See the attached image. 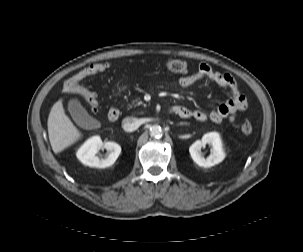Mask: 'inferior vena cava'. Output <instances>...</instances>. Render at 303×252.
<instances>
[{
	"label": "inferior vena cava",
	"instance_id": "obj_1",
	"mask_svg": "<svg viewBox=\"0 0 303 252\" xmlns=\"http://www.w3.org/2000/svg\"><path fill=\"white\" fill-rule=\"evenodd\" d=\"M139 127V122L137 118L134 117H126L122 121V128L126 132L135 131Z\"/></svg>",
	"mask_w": 303,
	"mask_h": 252
}]
</instances>
